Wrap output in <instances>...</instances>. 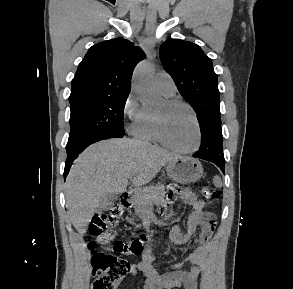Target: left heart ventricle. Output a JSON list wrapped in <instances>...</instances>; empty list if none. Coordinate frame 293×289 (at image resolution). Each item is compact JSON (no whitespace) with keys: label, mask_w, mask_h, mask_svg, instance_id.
Here are the masks:
<instances>
[{"label":"left heart ventricle","mask_w":293,"mask_h":289,"mask_svg":"<svg viewBox=\"0 0 293 289\" xmlns=\"http://www.w3.org/2000/svg\"><path fill=\"white\" fill-rule=\"evenodd\" d=\"M162 121L166 139L175 147L191 148L196 142V125L189 109L184 106H166L162 102L154 111Z\"/></svg>","instance_id":"obj_1"}]
</instances>
